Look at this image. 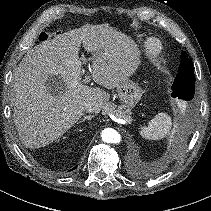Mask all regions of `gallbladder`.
<instances>
[{
	"mask_svg": "<svg viewBox=\"0 0 211 211\" xmlns=\"http://www.w3.org/2000/svg\"><path fill=\"white\" fill-rule=\"evenodd\" d=\"M56 85L63 86L62 79L57 75L50 76L46 82V87L52 94L59 95L61 91H56Z\"/></svg>",
	"mask_w": 211,
	"mask_h": 211,
	"instance_id": "obj_1",
	"label": "gallbladder"
}]
</instances>
